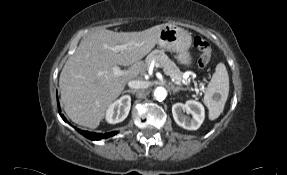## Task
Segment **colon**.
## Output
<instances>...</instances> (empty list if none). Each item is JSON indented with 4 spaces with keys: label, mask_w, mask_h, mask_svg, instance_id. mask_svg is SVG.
Instances as JSON below:
<instances>
[{
    "label": "colon",
    "mask_w": 287,
    "mask_h": 175,
    "mask_svg": "<svg viewBox=\"0 0 287 175\" xmlns=\"http://www.w3.org/2000/svg\"><path fill=\"white\" fill-rule=\"evenodd\" d=\"M193 46L200 52L199 67L205 68L209 64L212 55L210 44L204 38L196 36L193 39Z\"/></svg>",
    "instance_id": "colon-1"
}]
</instances>
